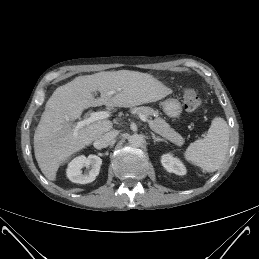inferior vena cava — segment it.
<instances>
[{
	"label": "inferior vena cava",
	"instance_id": "obj_1",
	"mask_svg": "<svg viewBox=\"0 0 259 259\" xmlns=\"http://www.w3.org/2000/svg\"><path fill=\"white\" fill-rule=\"evenodd\" d=\"M117 133L115 131H109L103 134L100 138L94 141V147L105 148L107 147L116 137Z\"/></svg>",
	"mask_w": 259,
	"mask_h": 259
}]
</instances>
